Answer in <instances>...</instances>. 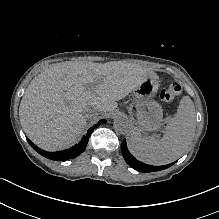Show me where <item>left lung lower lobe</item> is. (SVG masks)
Here are the masks:
<instances>
[{"label":"left lung lower lobe","instance_id":"left-lung-lower-lobe-1","mask_svg":"<svg viewBox=\"0 0 219 219\" xmlns=\"http://www.w3.org/2000/svg\"><path fill=\"white\" fill-rule=\"evenodd\" d=\"M121 150L123 157L125 158L126 162L134 169L140 171V172H154V171H160L164 170L170 166H172L174 163L163 165V166H151L148 164H144L137 159H135L132 154L128 151L126 141L123 140L121 143Z\"/></svg>","mask_w":219,"mask_h":219}]
</instances>
